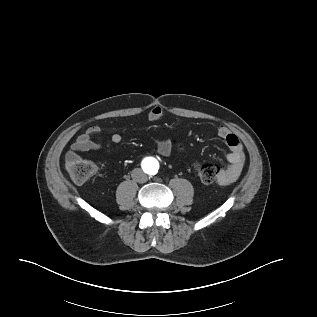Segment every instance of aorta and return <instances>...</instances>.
<instances>
[{
  "label": "aorta",
  "instance_id": "aorta-1",
  "mask_svg": "<svg viewBox=\"0 0 317 317\" xmlns=\"http://www.w3.org/2000/svg\"><path fill=\"white\" fill-rule=\"evenodd\" d=\"M157 172V163H155V167L150 170L151 174H155Z\"/></svg>",
  "mask_w": 317,
  "mask_h": 317
}]
</instances>
